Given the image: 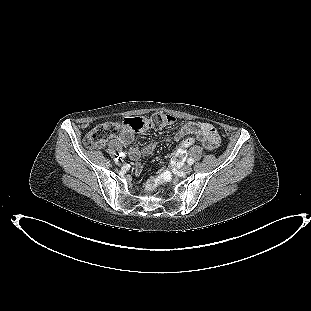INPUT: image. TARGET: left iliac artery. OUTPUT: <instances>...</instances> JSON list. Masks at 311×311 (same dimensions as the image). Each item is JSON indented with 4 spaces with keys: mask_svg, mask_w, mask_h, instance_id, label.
<instances>
[{
    "mask_svg": "<svg viewBox=\"0 0 311 311\" xmlns=\"http://www.w3.org/2000/svg\"><path fill=\"white\" fill-rule=\"evenodd\" d=\"M187 163L189 165H192L194 163V160L192 158H188Z\"/></svg>",
    "mask_w": 311,
    "mask_h": 311,
    "instance_id": "obj_1",
    "label": "left iliac artery"
}]
</instances>
